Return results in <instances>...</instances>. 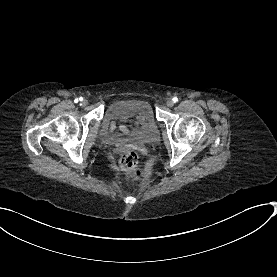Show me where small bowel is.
Returning a JSON list of instances; mask_svg holds the SVG:
<instances>
[{"label":"small bowel","instance_id":"small-bowel-1","mask_svg":"<svg viewBox=\"0 0 277 277\" xmlns=\"http://www.w3.org/2000/svg\"><path fill=\"white\" fill-rule=\"evenodd\" d=\"M115 127V123H112L111 124V128L113 129Z\"/></svg>","mask_w":277,"mask_h":277}]
</instances>
